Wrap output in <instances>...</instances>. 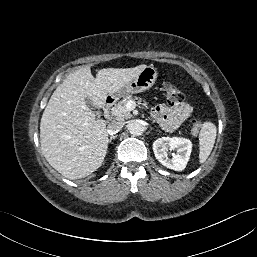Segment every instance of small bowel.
Segmentation results:
<instances>
[{
	"instance_id": "obj_1",
	"label": "small bowel",
	"mask_w": 257,
	"mask_h": 257,
	"mask_svg": "<svg viewBox=\"0 0 257 257\" xmlns=\"http://www.w3.org/2000/svg\"><path fill=\"white\" fill-rule=\"evenodd\" d=\"M191 112L192 108L187 102H180L169 106L160 104L152 109L153 116L167 131H173L184 123Z\"/></svg>"
}]
</instances>
